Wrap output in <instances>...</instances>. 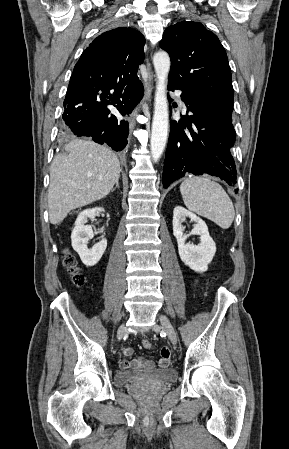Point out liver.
<instances>
[{"instance_id": "obj_1", "label": "liver", "mask_w": 289, "mask_h": 449, "mask_svg": "<svg viewBox=\"0 0 289 449\" xmlns=\"http://www.w3.org/2000/svg\"><path fill=\"white\" fill-rule=\"evenodd\" d=\"M50 167L48 210L51 224L71 210L104 198L120 177V162L109 148L89 140H72Z\"/></svg>"}]
</instances>
